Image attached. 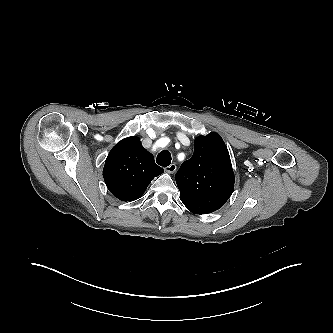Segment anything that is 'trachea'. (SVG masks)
Segmentation results:
<instances>
[{
  "instance_id": "trachea-1",
  "label": "trachea",
  "mask_w": 333,
  "mask_h": 333,
  "mask_svg": "<svg viewBox=\"0 0 333 333\" xmlns=\"http://www.w3.org/2000/svg\"><path fill=\"white\" fill-rule=\"evenodd\" d=\"M171 154L168 150L161 151L156 158L157 164L163 167H167L171 163Z\"/></svg>"
}]
</instances>
